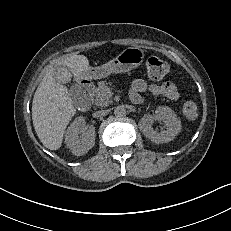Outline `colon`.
Returning a JSON list of instances; mask_svg holds the SVG:
<instances>
[{"label":"colon","instance_id":"1","mask_svg":"<svg viewBox=\"0 0 231 231\" xmlns=\"http://www.w3.org/2000/svg\"><path fill=\"white\" fill-rule=\"evenodd\" d=\"M147 75L152 80H160L164 78L170 71L168 63L158 57H150L146 61ZM182 111L189 119H194L198 113V106L193 100H184L182 103Z\"/></svg>","mask_w":231,"mask_h":231}]
</instances>
